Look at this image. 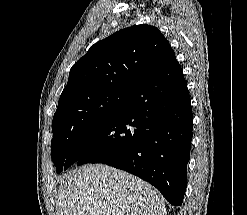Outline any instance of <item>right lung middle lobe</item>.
<instances>
[{
	"label": "right lung middle lobe",
	"mask_w": 247,
	"mask_h": 215,
	"mask_svg": "<svg viewBox=\"0 0 247 215\" xmlns=\"http://www.w3.org/2000/svg\"><path fill=\"white\" fill-rule=\"evenodd\" d=\"M131 92L102 90L86 95L69 94L58 102L52 121V160L56 171L70 166L67 157L78 140L116 115Z\"/></svg>",
	"instance_id": "obj_1"
}]
</instances>
